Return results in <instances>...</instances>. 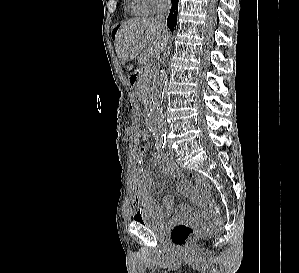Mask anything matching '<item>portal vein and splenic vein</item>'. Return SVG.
I'll list each match as a JSON object with an SVG mask.
<instances>
[{"instance_id":"18ae733b","label":"portal vein and splenic vein","mask_w":299,"mask_h":273,"mask_svg":"<svg viewBox=\"0 0 299 273\" xmlns=\"http://www.w3.org/2000/svg\"><path fill=\"white\" fill-rule=\"evenodd\" d=\"M144 61H150V57H147L146 59H144Z\"/></svg>"}]
</instances>
